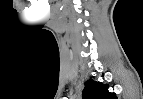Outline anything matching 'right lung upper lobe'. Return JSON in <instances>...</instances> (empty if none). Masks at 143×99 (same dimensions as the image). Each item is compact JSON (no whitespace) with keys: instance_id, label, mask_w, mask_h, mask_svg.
Here are the masks:
<instances>
[{"instance_id":"obj_1","label":"right lung upper lobe","mask_w":143,"mask_h":99,"mask_svg":"<svg viewBox=\"0 0 143 99\" xmlns=\"http://www.w3.org/2000/svg\"><path fill=\"white\" fill-rule=\"evenodd\" d=\"M115 93L108 91V85L96 82L92 79L87 80L82 91V99H116Z\"/></svg>"}]
</instances>
